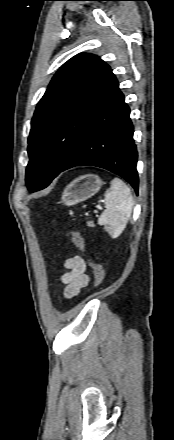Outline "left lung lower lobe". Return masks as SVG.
Listing matches in <instances>:
<instances>
[{
    "mask_svg": "<svg viewBox=\"0 0 174 440\" xmlns=\"http://www.w3.org/2000/svg\"><path fill=\"white\" fill-rule=\"evenodd\" d=\"M130 109L115 78L88 116L76 147L60 172L80 165L107 169L126 179L138 193L137 149Z\"/></svg>",
    "mask_w": 174,
    "mask_h": 440,
    "instance_id": "0a47b994",
    "label": "left lung lower lobe"
}]
</instances>
